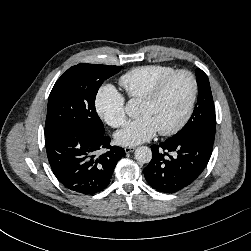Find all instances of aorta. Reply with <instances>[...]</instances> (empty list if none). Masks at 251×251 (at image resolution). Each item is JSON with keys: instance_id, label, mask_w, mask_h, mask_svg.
I'll list each match as a JSON object with an SVG mask.
<instances>
[{"instance_id": "obj_1", "label": "aorta", "mask_w": 251, "mask_h": 251, "mask_svg": "<svg viewBox=\"0 0 251 251\" xmlns=\"http://www.w3.org/2000/svg\"><path fill=\"white\" fill-rule=\"evenodd\" d=\"M134 103L132 101H129L126 105V112L128 115H132L134 111ZM135 159L140 163H149L152 159V151L147 146H140L135 150Z\"/></svg>"}]
</instances>
